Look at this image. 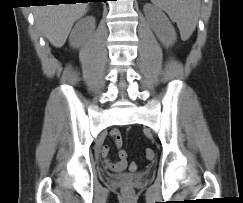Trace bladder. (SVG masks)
<instances>
[{
  "label": "bladder",
  "mask_w": 243,
  "mask_h": 203,
  "mask_svg": "<svg viewBox=\"0 0 243 203\" xmlns=\"http://www.w3.org/2000/svg\"><path fill=\"white\" fill-rule=\"evenodd\" d=\"M149 176L147 171H141L138 173H120V174H111V178L114 180L120 181H136L143 180Z\"/></svg>",
  "instance_id": "1"
}]
</instances>
